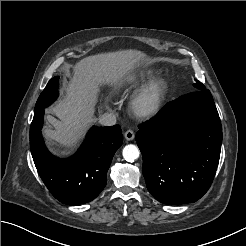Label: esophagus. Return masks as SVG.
Returning a JSON list of instances; mask_svg holds the SVG:
<instances>
[{
	"instance_id": "obj_1",
	"label": "esophagus",
	"mask_w": 246,
	"mask_h": 246,
	"mask_svg": "<svg viewBox=\"0 0 246 246\" xmlns=\"http://www.w3.org/2000/svg\"><path fill=\"white\" fill-rule=\"evenodd\" d=\"M124 137L127 141H131L134 139L135 137V133L132 131V130H127L125 133H124Z\"/></svg>"
}]
</instances>
